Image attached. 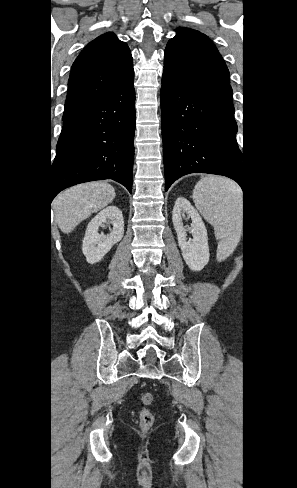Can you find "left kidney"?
Masks as SVG:
<instances>
[{"mask_svg": "<svg viewBox=\"0 0 297 488\" xmlns=\"http://www.w3.org/2000/svg\"><path fill=\"white\" fill-rule=\"evenodd\" d=\"M185 213L192 219L191 227L183 225L182 216ZM172 221L186 264L193 271L202 270L209 262L210 255L207 230L199 213L186 198L179 197L172 211ZM187 229L191 231L192 239L187 240Z\"/></svg>", "mask_w": 297, "mask_h": 488, "instance_id": "1", "label": "left kidney"}]
</instances>
